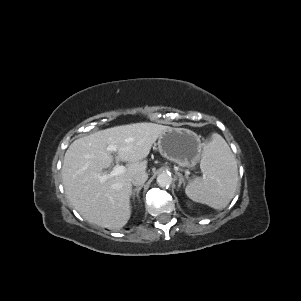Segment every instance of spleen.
Returning a JSON list of instances; mask_svg holds the SVG:
<instances>
[{
    "instance_id": "1",
    "label": "spleen",
    "mask_w": 301,
    "mask_h": 301,
    "mask_svg": "<svg viewBox=\"0 0 301 301\" xmlns=\"http://www.w3.org/2000/svg\"><path fill=\"white\" fill-rule=\"evenodd\" d=\"M200 168L203 177L186 186V195L214 209L225 208L235 194L238 171L236 159L220 135L215 134L212 141L204 145Z\"/></svg>"
}]
</instances>
